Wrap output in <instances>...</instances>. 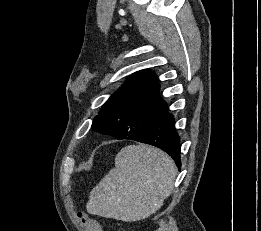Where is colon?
<instances>
[{
  "label": "colon",
  "instance_id": "1",
  "mask_svg": "<svg viewBox=\"0 0 261 231\" xmlns=\"http://www.w3.org/2000/svg\"><path fill=\"white\" fill-rule=\"evenodd\" d=\"M85 216H86V214L84 212H79L78 213V218L81 221H85Z\"/></svg>",
  "mask_w": 261,
  "mask_h": 231
}]
</instances>
